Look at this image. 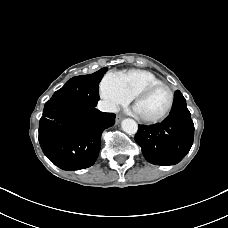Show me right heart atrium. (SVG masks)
Returning a JSON list of instances; mask_svg holds the SVG:
<instances>
[{
	"mask_svg": "<svg viewBox=\"0 0 228 228\" xmlns=\"http://www.w3.org/2000/svg\"><path fill=\"white\" fill-rule=\"evenodd\" d=\"M99 92L105 109L110 112L128 104L131 100L122 88L117 75L113 73H107L102 78L99 85Z\"/></svg>",
	"mask_w": 228,
	"mask_h": 228,
	"instance_id": "obj_1",
	"label": "right heart atrium"
}]
</instances>
